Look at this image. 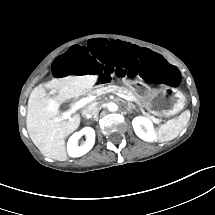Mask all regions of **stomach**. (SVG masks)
<instances>
[{"label": "stomach", "mask_w": 215, "mask_h": 215, "mask_svg": "<svg viewBox=\"0 0 215 215\" xmlns=\"http://www.w3.org/2000/svg\"><path fill=\"white\" fill-rule=\"evenodd\" d=\"M128 89L143 106L158 116L177 114L185 105V96L177 89L151 88L141 82L130 83Z\"/></svg>", "instance_id": "stomach-1"}]
</instances>
